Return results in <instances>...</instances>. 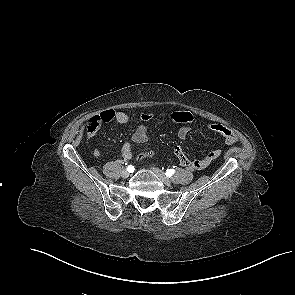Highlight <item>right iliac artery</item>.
Instances as JSON below:
<instances>
[{"label":"right iliac artery","instance_id":"82829eb1","mask_svg":"<svg viewBox=\"0 0 295 295\" xmlns=\"http://www.w3.org/2000/svg\"><path fill=\"white\" fill-rule=\"evenodd\" d=\"M126 170H127L129 173H131V172L134 171V166H132V165H128L127 168H126Z\"/></svg>","mask_w":295,"mask_h":295}]
</instances>
